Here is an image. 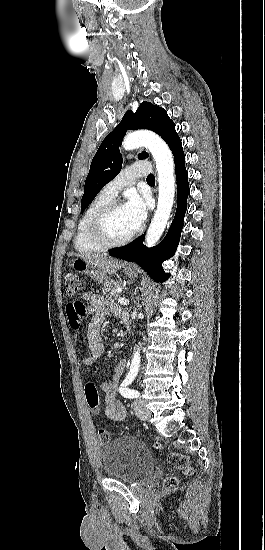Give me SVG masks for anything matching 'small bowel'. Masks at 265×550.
<instances>
[{
    "label": "small bowel",
    "instance_id": "small-bowel-1",
    "mask_svg": "<svg viewBox=\"0 0 265 550\" xmlns=\"http://www.w3.org/2000/svg\"><path fill=\"white\" fill-rule=\"evenodd\" d=\"M82 298L84 301L89 302L90 306H85L82 314V318L88 321L86 330L88 353L80 357V362L85 366H89L93 364L95 360L105 355L106 347L101 339V327L105 316L114 315L126 321L127 314L120 306L111 303L92 291L85 292ZM79 309L80 307L75 302L68 304L66 309L68 320L72 317H76L79 313ZM79 326L73 328V339L75 342H77L80 337ZM126 364V360L121 359L114 367L111 379L103 381L101 384L106 404L104 413L111 421L119 422L126 418L125 407L117 398V392L120 388Z\"/></svg>",
    "mask_w": 265,
    "mask_h": 550
}]
</instances>
